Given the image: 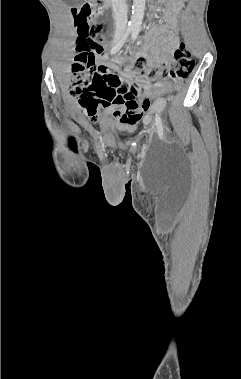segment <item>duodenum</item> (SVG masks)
Returning <instances> with one entry per match:
<instances>
[{
  "instance_id": "1",
  "label": "duodenum",
  "mask_w": 241,
  "mask_h": 379,
  "mask_svg": "<svg viewBox=\"0 0 241 379\" xmlns=\"http://www.w3.org/2000/svg\"><path fill=\"white\" fill-rule=\"evenodd\" d=\"M105 4H110L111 0H103Z\"/></svg>"
}]
</instances>
